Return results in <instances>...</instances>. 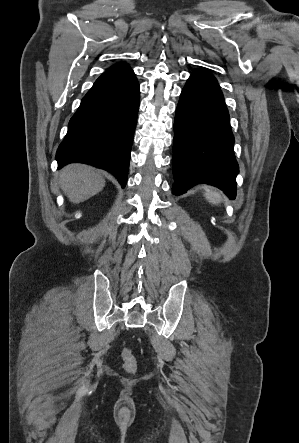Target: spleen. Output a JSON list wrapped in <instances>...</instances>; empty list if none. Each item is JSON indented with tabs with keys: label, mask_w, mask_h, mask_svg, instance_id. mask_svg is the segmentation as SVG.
Returning a JSON list of instances; mask_svg holds the SVG:
<instances>
[{
	"label": "spleen",
	"mask_w": 299,
	"mask_h": 443,
	"mask_svg": "<svg viewBox=\"0 0 299 443\" xmlns=\"http://www.w3.org/2000/svg\"><path fill=\"white\" fill-rule=\"evenodd\" d=\"M205 191H206L205 196L211 203L218 204L220 202L221 200L220 193L210 188H205Z\"/></svg>",
	"instance_id": "spleen-1"
}]
</instances>
